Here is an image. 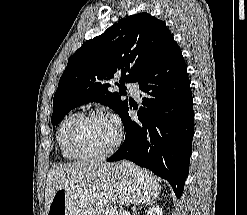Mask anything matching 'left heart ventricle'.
Returning a JSON list of instances; mask_svg holds the SVG:
<instances>
[{"instance_id": "obj_1", "label": "left heart ventricle", "mask_w": 247, "mask_h": 215, "mask_svg": "<svg viewBox=\"0 0 247 215\" xmlns=\"http://www.w3.org/2000/svg\"><path fill=\"white\" fill-rule=\"evenodd\" d=\"M116 138V127L105 119H90L84 122L78 132V142L85 152H105Z\"/></svg>"}]
</instances>
